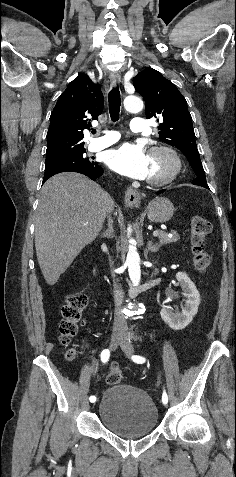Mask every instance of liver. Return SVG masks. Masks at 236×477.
Segmentation results:
<instances>
[{"label":"liver","mask_w":236,"mask_h":477,"mask_svg":"<svg viewBox=\"0 0 236 477\" xmlns=\"http://www.w3.org/2000/svg\"><path fill=\"white\" fill-rule=\"evenodd\" d=\"M114 201L78 173H60L43 185L35 219V248L48 285H54L113 211Z\"/></svg>","instance_id":"obj_1"}]
</instances>
